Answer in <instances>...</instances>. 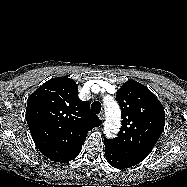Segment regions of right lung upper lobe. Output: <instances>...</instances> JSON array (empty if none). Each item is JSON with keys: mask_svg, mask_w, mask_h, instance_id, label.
Masks as SVG:
<instances>
[{"mask_svg": "<svg viewBox=\"0 0 187 187\" xmlns=\"http://www.w3.org/2000/svg\"><path fill=\"white\" fill-rule=\"evenodd\" d=\"M67 77L48 80L28 97L26 120L38 149L55 162H69L80 153L88 131L101 125L89 103L78 97Z\"/></svg>", "mask_w": 187, "mask_h": 187, "instance_id": "right-lung-upper-lobe-1", "label": "right lung upper lobe"}]
</instances>
